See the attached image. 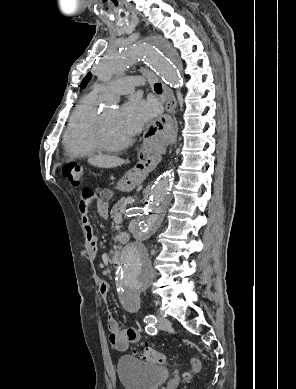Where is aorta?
Returning a JSON list of instances; mask_svg holds the SVG:
<instances>
[{
    "label": "aorta",
    "mask_w": 296,
    "mask_h": 389,
    "mask_svg": "<svg viewBox=\"0 0 296 389\" xmlns=\"http://www.w3.org/2000/svg\"><path fill=\"white\" fill-rule=\"evenodd\" d=\"M135 62L152 66L170 86L179 87L181 74L178 58L171 45L163 39L146 40L112 51L99 61L95 73L100 81L109 82L123 74ZM172 185L171 170L157 178L149 193L144 216L137 231L121 252L116 280L117 286L124 294H139L153 282L155 269L149 258L146 242L164 219L170 203Z\"/></svg>",
    "instance_id": "obj_1"
}]
</instances>
